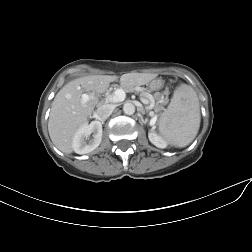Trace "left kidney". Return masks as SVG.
Wrapping results in <instances>:
<instances>
[{"label": "left kidney", "mask_w": 252, "mask_h": 252, "mask_svg": "<svg viewBox=\"0 0 252 252\" xmlns=\"http://www.w3.org/2000/svg\"><path fill=\"white\" fill-rule=\"evenodd\" d=\"M148 137H149L150 142L154 144L156 147L161 148V149L167 147V142L153 130H151L148 133Z\"/></svg>", "instance_id": "left-kidney-1"}]
</instances>
